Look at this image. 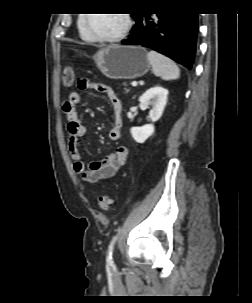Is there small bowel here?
<instances>
[{
    "instance_id": "small-bowel-1",
    "label": "small bowel",
    "mask_w": 252,
    "mask_h": 303,
    "mask_svg": "<svg viewBox=\"0 0 252 303\" xmlns=\"http://www.w3.org/2000/svg\"><path fill=\"white\" fill-rule=\"evenodd\" d=\"M80 90H97L106 94L113 110V124L109 130V138L117 141L121 137L123 126L122 103L116 95L113 88L103 83L92 82L88 79H81L78 82ZM82 101L78 92H71L63 104V112L67 118L66 136L68 150L74 160V171L82 177L83 180L96 183L100 180L113 177L121 167L126 164L128 157V148L118 146L113 153L107 155L100 161H92L85 167L80 159L81 141L87 133L86 124L80 119L76 106Z\"/></svg>"
}]
</instances>
